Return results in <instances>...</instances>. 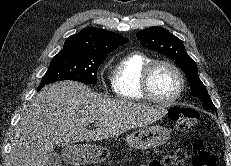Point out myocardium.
Listing matches in <instances>:
<instances>
[{
	"mask_svg": "<svg viewBox=\"0 0 231 166\" xmlns=\"http://www.w3.org/2000/svg\"><path fill=\"white\" fill-rule=\"evenodd\" d=\"M159 65H165L171 68L175 74L178 77L179 81V87L177 92L168 99H161L157 97L151 88V76L154 71V69ZM185 89V77L181 69L174 64L173 62L166 60V59H156L152 60L150 63H148L145 68L143 69L142 76H141V90L144 94V96L149 99L152 102L161 104V105H170L174 103L176 100L180 98L183 91Z\"/></svg>",
	"mask_w": 231,
	"mask_h": 166,
	"instance_id": "myocardium-1",
	"label": "myocardium"
}]
</instances>
